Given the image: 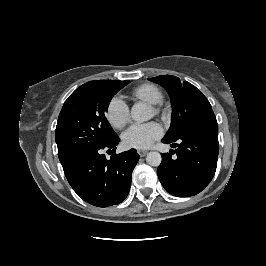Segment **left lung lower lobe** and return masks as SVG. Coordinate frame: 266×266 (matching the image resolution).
<instances>
[{"instance_id":"1","label":"left lung lower lobe","mask_w":266,"mask_h":266,"mask_svg":"<svg viewBox=\"0 0 266 266\" xmlns=\"http://www.w3.org/2000/svg\"><path fill=\"white\" fill-rule=\"evenodd\" d=\"M162 142L177 147V158L172 159L170 154L163 153L157 170L166 191L178 197L201 192L212 180L217 167V121L197 125L176 140L163 139Z\"/></svg>"}]
</instances>
